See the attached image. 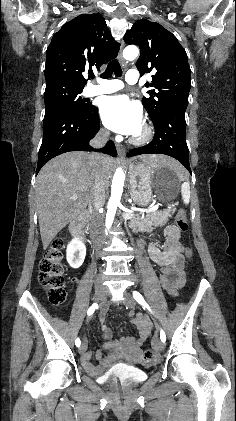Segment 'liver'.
Listing matches in <instances>:
<instances>
[{
  "label": "liver",
  "instance_id": "6515ba94",
  "mask_svg": "<svg viewBox=\"0 0 236 421\" xmlns=\"http://www.w3.org/2000/svg\"><path fill=\"white\" fill-rule=\"evenodd\" d=\"M141 158L147 166H168L175 162V168L184 170L171 156L141 154ZM95 162L100 170V180L104 186H109L115 160L108 154H100L95 160L87 152L74 150L63 152L42 166L36 178L35 196L44 251L59 231L79 217L91 202L97 180ZM72 194H77L78 198L72 200Z\"/></svg>",
  "mask_w": 236,
  "mask_h": 421
}]
</instances>
